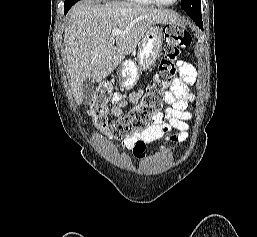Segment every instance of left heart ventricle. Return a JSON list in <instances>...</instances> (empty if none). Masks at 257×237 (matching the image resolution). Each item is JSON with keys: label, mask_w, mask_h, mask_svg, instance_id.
Wrapping results in <instances>:
<instances>
[{"label": "left heart ventricle", "mask_w": 257, "mask_h": 237, "mask_svg": "<svg viewBox=\"0 0 257 237\" xmlns=\"http://www.w3.org/2000/svg\"><path fill=\"white\" fill-rule=\"evenodd\" d=\"M162 1H164V2H172L174 0H162Z\"/></svg>", "instance_id": "b2bd125f"}]
</instances>
